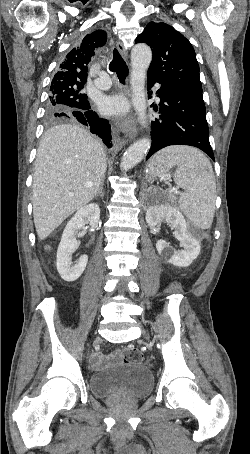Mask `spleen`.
I'll return each mask as SVG.
<instances>
[{
  "instance_id": "3e777b00",
  "label": "spleen",
  "mask_w": 250,
  "mask_h": 454,
  "mask_svg": "<svg viewBox=\"0 0 250 454\" xmlns=\"http://www.w3.org/2000/svg\"><path fill=\"white\" fill-rule=\"evenodd\" d=\"M175 166L174 181L184 189L179 198L180 209L198 228H210L216 199V183L210 161L194 147L174 145L156 153L150 160L148 170L152 177H166Z\"/></svg>"
}]
</instances>
